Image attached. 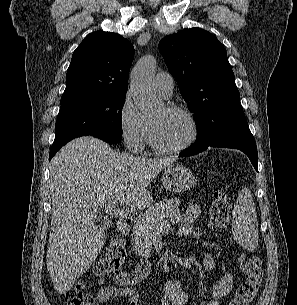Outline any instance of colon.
I'll return each mask as SVG.
<instances>
[{
    "instance_id": "1",
    "label": "colon",
    "mask_w": 297,
    "mask_h": 305,
    "mask_svg": "<svg viewBox=\"0 0 297 305\" xmlns=\"http://www.w3.org/2000/svg\"><path fill=\"white\" fill-rule=\"evenodd\" d=\"M231 213L229 196L218 191L210 208L209 227L212 231H221L227 224ZM127 259L125 242L121 236H114L104 249L94 266L97 277L103 278L119 273ZM243 273V281L237 287L234 296L228 305H250L256 297L262 281L263 270L259 258L252 255H242L239 259ZM67 305H94L92 296L86 291L84 284L80 283L66 293Z\"/></svg>"
}]
</instances>
